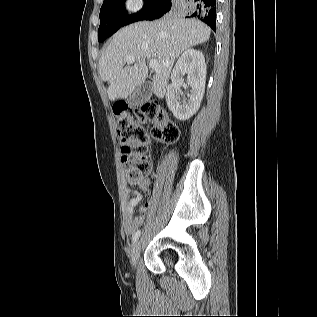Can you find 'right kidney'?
Instances as JSON below:
<instances>
[{
    "instance_id": "ca27d5eb",
    "label": "right kidney",
    "mask_w": 317,
    "mask_h": 317,
    "mask_svg": "<svg viewBox=\"0 0 317 317\" xmlns=\"http://www.w3.org/2000/svg\"><path fill=\"white\" fill-rule=\"evenodd\" d=\"M187 74V85L191 88L183 97L181 87L185 86L184 75ZM172 83L167 87V106L178 120H187L194 115L202 101L205 91L206 64L201 51L187 49L179 57L172 73Z\"/></svg>"
}]
</instances>
